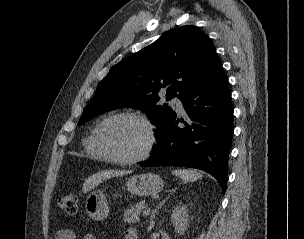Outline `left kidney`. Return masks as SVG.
I'll return each instance as SVG.
<instances>
[{
  "instance_id": "5707ae66",
  "label": "left kidney",
  "mask_w": 304,
  "mask_h": 239,
  "mask_svg": "<svg viewBox=\"0 0 304 239\" xmlns=\"http://www.w3.org/2000/svg\"><path fill=\"white\" fill-rule=\"evenodd\" d=\"M171 221L178 234L183 235L189 222L186 206L181 204L176 206L172 212Z\"/></svg>"
}]
</instances>
